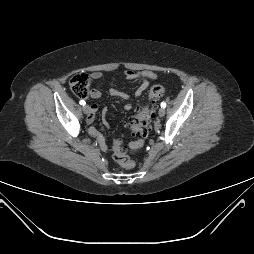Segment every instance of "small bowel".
<instances>
[{"label": "small bowel", "mask_w": 254, "mask_h": 254, "mask_svg": "<svg viewBox=\"0 0 254 254\" xmlns=\"http://www.w3.org/2000/svg\"><path fill=\"white\" fill-rule=\"evenodd\" d=\"M102 76L101 72H93L91 74V77L93 79H99ZM124 79L126 80H138L140 81V85L138 86V88L135 90L134 92V96L136 98L140 97L144 91L148 88L149 83L151 81H155L157 79V75L156 73L152 72V71H135V70H125L123 73ZM109 94L111 96L120 98L122 100L126 101L125 104V109L127 111L132 109V104L130 102V95L127 94L126 92H123L121 90H118L116 88H111L109 89ZM90 97L92 100H94L95 102L93 104H91L90 106V114L88 115L86 121L88 124H92L95 120V115L99 110V106L96 103V101L98 99H100L101 97V92L98 89H93L90 92ZM104 113V125L108 128L109 124L107 122L106 119V109L103 110ZM89 134L92 135L93 137H95L98 140L99 146L101 148L102 151H106L107 150V143L105 138L94 128V127H90L89 128ZM141 146V142H136L133 144V148L137 149Z\"/></svg>", "instance_id": "small-bowel-1"}]
</instances>
